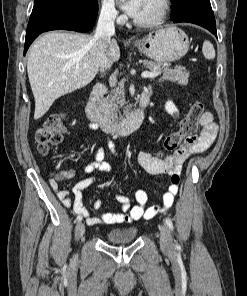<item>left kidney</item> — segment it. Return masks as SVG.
Listing matches in <instances>:
<instances>
[{
	"label": "left kidney",
	"mask_w": 247,
	"mask_h": 296,
	"mask_svg": "<svg viewBox=\"0 0 247 296\" xmlns=\"http://www.w3.org/2000/svg\"><path fill=\"white\" fill-rule=\"evenodd\" d=\"M165 110L167 111V113H169L172 116H177L179 111L176 108V106L174 105V103L172 101H167L165 104Z\"/></svg>",
	"instance_id": "5707ae66"
}]
</instances>
